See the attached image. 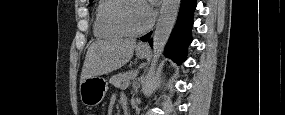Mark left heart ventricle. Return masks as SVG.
Here are the masks:
<instances>
[{
  "mask_svg": "<svg viewBox=\"0 0 285 115\" xmlns=\"http://www.w3.org/2000/svg\"><path fill=\"white\" fill-rule=\"evenodd\" d=\"M121 17L124 23L132 30H140L146 26L140 2L128 3L122 11Z\"/></svg>",
  "mask_w": 285,
  "mask_h": 115,
  "instance_id": "left-heart-ventricle-1",
  "label": "left heart ventricle"
}]
</instances>
